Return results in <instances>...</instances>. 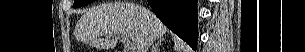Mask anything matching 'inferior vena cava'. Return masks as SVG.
<instances>
[{
  "mask_svg": "<svg viewBox=\"0 0 305 52\" xmlns=\"http://www.w3.org/2000/svg\"><path fill=\"white\" fill-rule=\"evenodd\" d=\"M153 42L151 37L146 36L138 45L137 52H148V49Z\"/></svg>",
  "mask_w": 305,
  "mask_h": 52,
  "instance_id": "obj_1",
  "label": "inferior vena cava"
}]
</instances>
